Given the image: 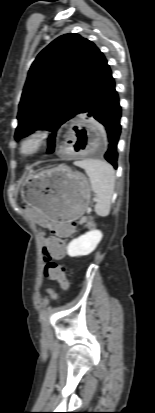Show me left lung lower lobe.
Wrapping results in <instances>:
<instances>
[{"mask_svg":"<svg viewBox=\"0 0 155 413\" xmlns=\"http://www.w3.org/2000/svg\"><path fill=\"white\" fill-rule=\"evenodd\" d=\"M91 117L104 125L108 138L105 159L117 168V143L121 131V107L109 65L105 64L93 88L83 100L79 114Z\"/></svg>","mask_w":155,"mask_h":413,"instance_id":"1","label":"left lung lower lobe"}]
</instances>
